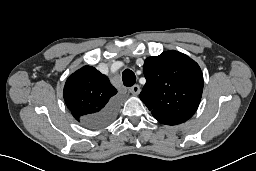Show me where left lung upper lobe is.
I'll return each mask as SVG.
<instances>
[{
    "instance_id": "left-lung-upper-lobe-1",
    "label": "left lung upper lobe",
    "mask_w": 256,
    "mask_h": 171,
    "mask_svg": "<svg viewBox=\"0 0 256 171\" xmlns=\"http://www.w3.org/2000/svg\"><path fill=\"white\" fill-rule=\"evenodd\" d=\"M144 76L140 99L157 121L177 125L193 116L203 91V74L194 60L178 51H166L145 60Z\"/></svg>"
}]
</instances>
